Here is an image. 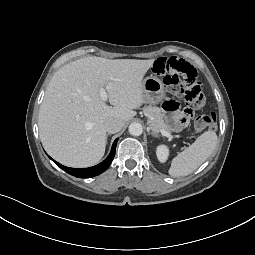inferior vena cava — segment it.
Segmentation results:
<instances>
[{
    "label": "inferior vena cava",
    "instance_id": "1",
    "mask_svg": "<svg viewBox=\"0 0 255 255\" xmlns=\"http://www.w3.org/2000/svg\"><path fill=\"white\" fill-rule=\"evenodd\" d=\"M124 126V122L116 118H108L105 121V129L108 133L114 134L119 132Z\"/></svg>",
    "mask_w": 255,
    "mask_h": 255
}]
</instances>
